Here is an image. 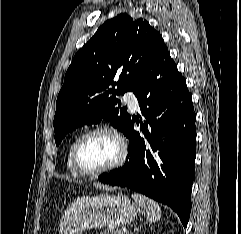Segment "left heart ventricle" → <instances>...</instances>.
<instances>
[{"mask_svg":"<svg viewBox=\"0 0 241 234\" xmlns=\"http://www.w3.org/2000/svg\"><path fill=\"white\" fill-rule=\"evenodd\" d=\"M119 155V144L107 133H98L88 138L80 150V163L89 171L112 164Z\"/></svg>","mask_w":241,"mask_h":234,"instance_id":"1","label":"left heart ventricle"}]
</instances>
